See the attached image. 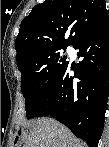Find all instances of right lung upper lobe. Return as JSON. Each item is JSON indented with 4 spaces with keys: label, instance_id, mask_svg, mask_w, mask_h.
<instances>
[{
    "label": "right lung upper lobe",
    "instance_id": "cb5924a9",
    "mask_svg": "<svg viewBox=\"0 0 109 147\" xmlns=\"http://www.w3.org/2000/svg\"><path fill=\"white\" fill-rule=\"evenodd\" d=\"M107 17L104 0H45L36 5L21 22L15 40L18 68L44 52L74 46Z\"/></svg>",
    "mask_w": 109,
    "mask_h": 147
}]
</instances>
